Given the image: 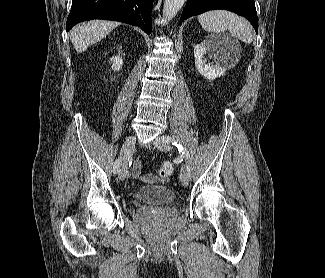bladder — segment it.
<instances>
[{
    "mask_svg": "<svg viewBox=\"0 0 325 278\" xmlns=\"http://www.w3.org/2000/svg\"><path fill=\"white\" fill-rule=\"evenodd\" d=\"M176 195L173 190L165 185L148 184L142 186L137 199L145 204L166 205L175 201Z\"/></svg>",
    "mask_w": 325,
    "mask_h": 278,
    "instance_id": "bladder-1",
    "label": "bladder"
}]
</instances>
